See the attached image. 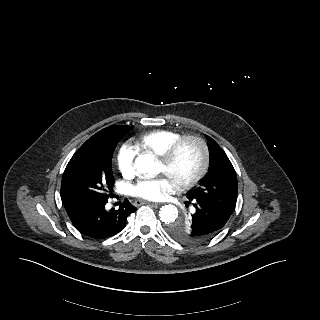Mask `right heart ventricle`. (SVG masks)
Wrapping results in <instances>:
<instances>
[{
  "label": "right heart ventricle",
  "mask_w": 320,
  "mask_h": 320,
  "mask_svg": "<svg viewBox=\"0 0 320 320\" xmlns=\"http://www.w3.org/2000/svg\"><path fill=\"white\" fill-rule=\"evenodd\" d=\"M180 137L181 134L178 132L158 129L140 136L137 140V145L139 148L161 157Z\"/></svg>",
  "instance_id": "obj_1"
}]
</instances>
